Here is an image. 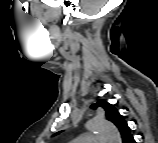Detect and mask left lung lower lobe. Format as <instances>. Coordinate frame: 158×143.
Masks as SVG:
<instances>
[{"mask_svg":"<svg viewBox=\"0 0 158 143\" xmlns=\"http://www.w3.org/2000/svg\"><path fill=\"white\" fill-rule=\"evenodd\" d=\"M123 143H135V140L132 135H129L123 140Z\"/></svg>","mask_w":158,"mask_h":143,"instance_id":"obj_1","label":"left lung lower lobe"}]
</instances>
